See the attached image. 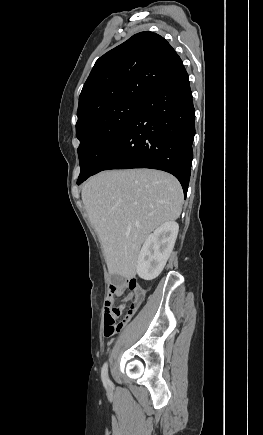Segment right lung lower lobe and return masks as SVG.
I'll return each instance as SVG.
<instances>
[{
	"label": "right lung lower lobe",
	"mask_w": 263,
	"mask_h": 435,
	"mask_svg": "<svg viewBox=\"0 0 263 435\" xmlns=\"http://www.w3.org/2000/svg\"><path fill=\"white\" fill-rule=\"evenodd\" d=\"M194 120L192 92L183 67L144 100L94 174L109 169L163 170L180 181L186 197L193 159Z\"/></svg>",
	"instance_id": "1"
}]
</instances>
